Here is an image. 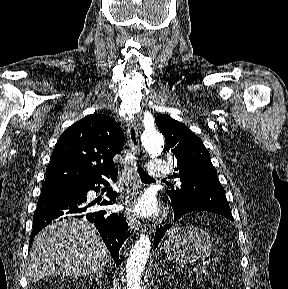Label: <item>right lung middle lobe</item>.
I'll return each mask as SVG.
<instances>
[{"label":"right lung middle lobe","instance_id":"right-lung-middle-lobe-1","mask_svg":"<svg viewBox=\"0 0 288 289\" xmlns=\"http://www.w3.org/2000/svg\"><path fill=\"white\" fill-rule=\"evenodd\" d=\"M51 191H53V190L41 191V193H49V192H51Z\"/></svg>","mask_w":288,"mask_h":289}]
</instances>
